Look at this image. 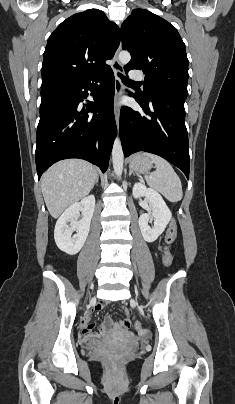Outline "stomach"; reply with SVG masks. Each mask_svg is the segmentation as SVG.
<instances>
[{
    "mask_svg": "<svg viewBox=\"0 0 235 404\" xmlns=\"http://www.w3.org/2000/svg\"><path fill=\"white\" fill-rule=\"evenodd\" d=\"M152 161L143 154H136L130 159L129 167L136 174H145L153 167Z\"/></svg>",
    "mask_w": 235,
    "mask_h": 404,
    "instance_id": "1",
    "label": "stomach"
}]
</instances>
